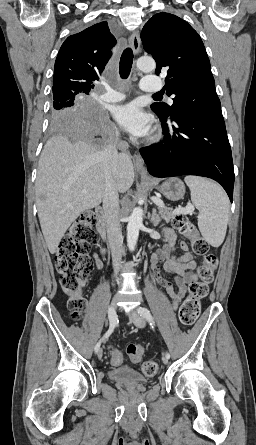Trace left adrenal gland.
Masks as SVG:
<instances>
[{"instance_id":"a2214340","label":"left adrenal gland","mask_w":256,"mask_h":445,"mask_svg":"<svg viewBox=\"0 0 256 445\" xmlns=\"http://www.w3.org/2000/svg\"><path fill=\"white\" fill-rule=\"evenodd\" d=\"M161 222V217L159 216V214H157V210L154 208L152 211V216H151V223L154 226H158V224Z\"/></svg>"}]
</instances>
